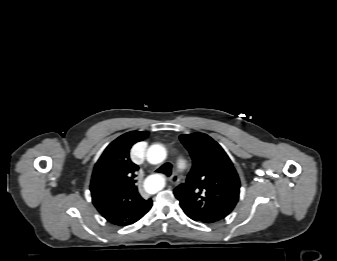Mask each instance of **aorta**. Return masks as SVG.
Returning a JSON list of instances; mask_svg holds the SVG:
<instances>
[{
	"label": "aorta",
	"instance_id": "aorta-1",
	"mask_svg": "<svg viewBox=\"0 0 337 261\" xmlns=\"http://www.w3.org/2000/svg\"><path fill=\"white\" fill-rule=\"evenodd\" d=\"M166 149L160 144H153L147 150V161L151 164H159L166 158ZM164 186L163 180L158 175L150 176L145 182V189L150 194H155Z\"/></svg>",
	"mask_w": 337,
	"mask_h": 261
}]
</instances>
